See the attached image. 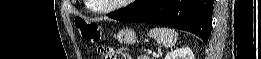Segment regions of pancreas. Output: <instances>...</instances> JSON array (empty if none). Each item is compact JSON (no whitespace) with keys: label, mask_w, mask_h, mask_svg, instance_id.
Wrapping results in <instances>:
<instances>
[{"label":"pancreas","mask_w":261,"mask_h":59,"mask_svg":"<svg viewBox=\"0 0 261 59\" xmlns=\"http://www.w3.org/2000/svg\"><path fill=\"white\" fill-rule=\"evenodd\" d=\"M138 59H150V57L147 55H141L138 57Z\"/></svg>","instance_id":"1"}]
</instances>
